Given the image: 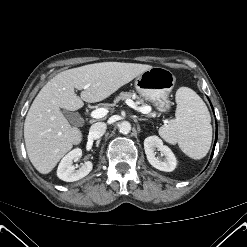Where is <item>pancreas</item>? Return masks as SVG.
<instances>
[{"label": "pancreas", "mask_w": 247, "mask_h": 247, "mask_svg": "<svg viewBox=\"0 0 247 247\" xmlns=\"http://www.w3.org/2000/svg\"><path fill=\"white\" fill-rule=\"evenodd\" d=\"M130 98H133V99H137L136 103L137 104H142L143 106L144 103H143V100L139 99L135 93H132V92H121L114 100V103H117L118 101L120 100H124V99H130Z\"/></svg>", "instance_id": "cf45deb5"}]
</instances>
